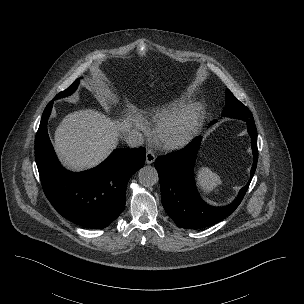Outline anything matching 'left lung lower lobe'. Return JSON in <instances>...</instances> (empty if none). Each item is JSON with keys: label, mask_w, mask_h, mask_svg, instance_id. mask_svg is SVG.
I'll use <instances>...</instances> for the list:
<instances>
[{"label": "left lung lower lobe", "mask_w": 304, "mask_h": 304, "mask_svg": "<svg viewBox=\"0 0 304 304\" xmlns=\"http://www.w3.org/2000/svg\"><path fill=\"white\" fill-rule=\"evenodd\" d=\"M216 121H213V124ZM251 137L253 165L250 180L241 188L237 198L230 205L214 207L206 204L196 189L193 165L201 137L195 138L185 148L159 156L155 161L158 171L161 200L168 216L178 227L200 229L216 224L232 214L244 198L255 173L258 161L257 130L254 121L247 120Z\"/></svg>", "instance_id": "1"}]
</instances>
